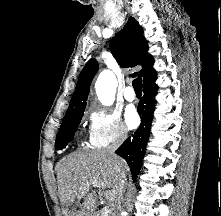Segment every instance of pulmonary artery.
Instances as JSON below:
<instances>
[{"label":"pulmonary artery","instance_id":"1","mask_svg":"<svg viewBox=\"0 0 221 216\" xmlns=\"http://www.w3.org/2000/svg\"><path fill=\"white\" fill-rule=\"evenodd\" d=\"M124 98L127 101H134L136 98V94L133 90L132 87L128 86L125 90H124Z\"/></svg>","mask_w":221,"mask_h":216}]
</instances>
